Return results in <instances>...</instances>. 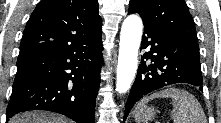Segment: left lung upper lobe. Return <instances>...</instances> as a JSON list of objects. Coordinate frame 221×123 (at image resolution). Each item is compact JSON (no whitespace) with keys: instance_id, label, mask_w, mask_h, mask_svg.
I'll return each mask as SVG.
<instances>
[{"instance_id":"1","label":"left lung upper lobe","mask_w":221,"mask_h":123,"mask_svg":"<svg viewBox=\"0 0 221 123\" xmlns=\"http://www.w3.org/2000/svg\"><path fill=\"white\" fill-rule=\"evenodd\" d=\"M129 12L138 13L144 24L198 44L195 24L184 0H130Z\"/></svg>"}]
</instances>
